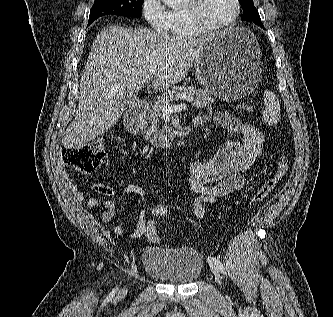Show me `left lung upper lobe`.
Masks as SVG:
<instances>
[{
	"mask_svg": "<svg viewBox=\"0 0 333 317\" xmlns=\"http://www.w3.org/2000/svg\"><path fill=\"white\" fill-rule=\"evenodd\" d=\"M239 3L243 7L242 20L251 21L263 28L261 18L257 9L254 6L253 0H239Z\"/></svg>",
	"mask_w": 333,
	"mask_h": 317,
	"instance_id": "obj_1",
	"label": "left lung upper lobe"
}]
</instances>
